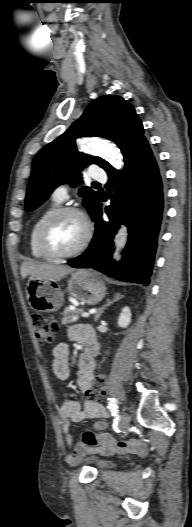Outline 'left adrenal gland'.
<instances>
[{
	"mask_svg": "<svg viewBox=\"0 0 192 527\" xmlns=\"http://www.w3.org/2000/svg\"><path fill=\"white\" fill-rule=\"evenodd\" d=\"M123 297V295H120V294H116L114 296V299L110 302H108L106 305H104L102 308H100L96 314H95V318H94V321H98V319L100 318L101 314L103 313V311L110 305H112L113 303H115L116 301H118L119 299H121Z\"/></svg>",
	"mask_w": 192,
	"mask_h": 527,
	"instance_id": "a2214340",
	"label": "left adrenal gland"
}]
</instances>
